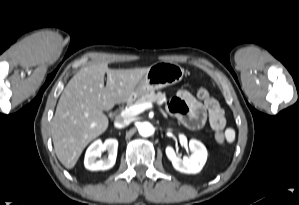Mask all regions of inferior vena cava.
<instances>
[{
  "instance_id": "1",
  "label": "inferior vena cava",
  "mask_w": 299,
  "mask_h": 205,
  "mask_svg": "<svg viewBox=\"0 0 299 205\" xmlns=\"http://www.w3.org/2000/svg\"><path fill=\"white\" fill-rule=\"evenodd\" d=\"M129 123H130V121L127 119H124V120L119 119V120L115 121L114 126L116 128H123V127L127 126Z\"/></svg>"
}]
</instances>
